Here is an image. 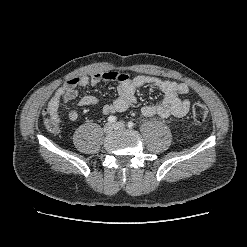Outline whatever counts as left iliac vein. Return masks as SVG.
<instances>
[{
    "instance_id": "1",
    "label": "left iliac vein",
    "mask_w": 247,
    "mask_h": 247,
    "mask_svg": "<svg viewBox=\"0 0 247 247\" xmlns=\"http://www.w3.org/2000/svg\"><path fill=\"white\" fill-rule=\"evenodd\" d=\"M113 127L115 129H124L125 128V124L123 122H116L113 124Z\"/></svg>"
}]
</instances>
